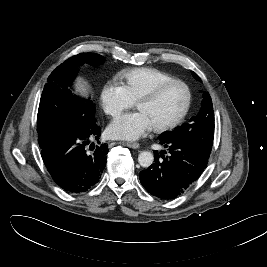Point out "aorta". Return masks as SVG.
I'll return each instance as SVG.
<instances>
[{"label":"aorta","instance_id":"762f6f07","mask_svg":"<svg viewBox=\"0 0 267 267\" xmlns=\"http://www.w3.org/2000/svg\"><path fill=\"white\" fill-rule=\"evenodd\" d=\"M154 156L149 151H143L138 155V162L142 167H149L153 163Z\"/></svg>","mask_w":267,"mask_h":267}]
</instances>
